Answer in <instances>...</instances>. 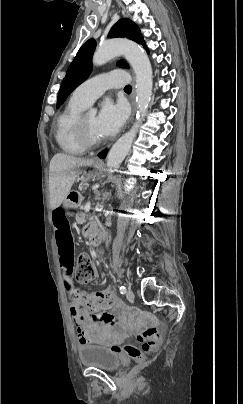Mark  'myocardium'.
<instances>
[{
	"label": "myocardium",
	"instance_id": "1",
	"mask_svg": "<svg viewBox=\"0 0 243 404\" xmlns=\"http://www.w3.org/2000/svg\"><path fill=\"white\" fill-rule=\"evenodd\" d=\"M89 34H100V32H89ZM83 115H80L78 117V119L75 122L74 125V130L75 133L77 135V137L79 138V140L88 148H94L96 146H98L99 144V140L98 138H92L90 137L85 129H84V125H83Z\"/></svg>",
	"mask_w": 243,
	"mask_h": 404
}]
</instances>
